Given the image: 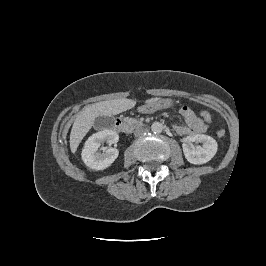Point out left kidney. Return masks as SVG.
<instances>
[{"mask_svg": "<svg viewBox=\"0 0 266 266\" xmlns=\"http://www.w3.org/2000/svg\"><path fill=\"white\" fill-rule=\"evenodd\" d=\"M202 143V147H194L193 143ZM185 158L188 162L200 165L210 161L216 154L218 144L215 139L208 135L196 134L187 136L182 144Z\"/></svg>", "mask_w": 266, "mask_h": 266, "instance_id": "left-kidney-1", "label": "left kidney"}]
</instances>
